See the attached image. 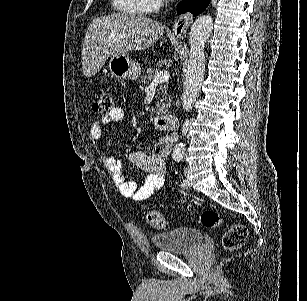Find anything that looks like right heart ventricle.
I'll list each match as a JSON object with an SVG mask.
<instances>
[{"instance_id": "right-heart-ventricle-1", "label": "right heart ventricle", "mask_w": 307, "mask_h": 301, "mask_svg": "<svg viewBox=\"0 0 307 301\" xmlns=\"http://www.w3.org/2000/svg\"><path fill=\"white\" fill-rule=\"evenodd\" d=\"M113 4H117L116 12L123 13L124 17H135L139 8H145L144 0H113Z\"/></svg>"}]
</instances>
